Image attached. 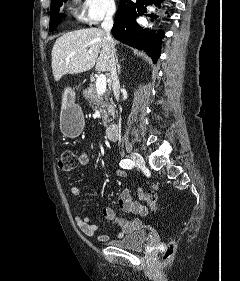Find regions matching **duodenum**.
Returning <instances> with one entry per match:
<instances>
[{"label": "duodenum", "instance_id": "1", "mask_svg": "<svg viewBox=\"0 0 240 281\" xmlns=\"http://www.w3.org/2000/svg\"><path fill=\"white\" fill-rule=\"evenodd\" d=\"M105 134L109 140L115 141L118 138V127L115 124L108 125Z\"/></svg>", "mask_w": 240, "mask_h": 281}]
</instances>
